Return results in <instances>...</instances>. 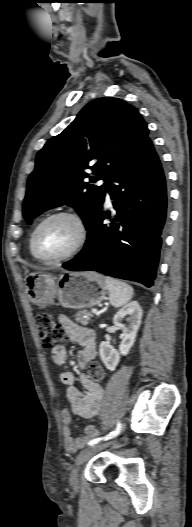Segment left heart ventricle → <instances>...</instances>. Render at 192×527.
<instances>
[{"instance_id":"left-heart-ventricle-1","label":"left heart ventricle","mask_w":192,"mask_h":527,"mask_svg":"<svg viewBox=\"0 0 192 527\" xmlns=\"http://www.w3.org/2000/svg\"><path fill=\"white\" fill-rule=\"evenodd\" d=\"M78 238V228L73 220L57 217L48 221L37 236V250L46 258H55L66 254Z\"/></svg>"}]
</instances>
